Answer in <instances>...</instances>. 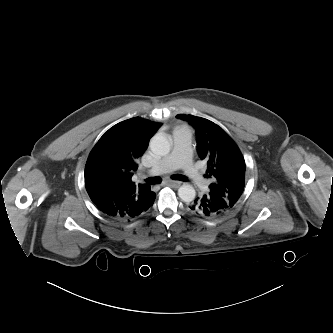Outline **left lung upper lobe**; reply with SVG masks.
Masks as SVG:
<instances>
[{"label":"left lung upper lobe","mask_w":333,"mask_h":333,"mask_svg":"<svg viewBox=\"0 0 333 333\" xmlns=\"http://www.w3.org/2000/svg\"><path fill=\"white\" fill-rule=\"evenodd\" d=\"M191 124L197 135V151L207 161V177L212 178L209 193L225 199L231 209L245 186V161L235 142L215 123L193 115L178 114Z\"/></svg>","instance_id":"1"}]
</instances>
